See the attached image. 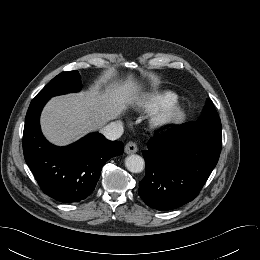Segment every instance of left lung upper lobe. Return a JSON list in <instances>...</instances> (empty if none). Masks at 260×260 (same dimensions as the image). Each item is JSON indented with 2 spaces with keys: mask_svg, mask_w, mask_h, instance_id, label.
<instances>
[{
  "mask_svg": "<svg viewBox=\"0 0 260 260\" xmlns=\"http://www.w3.org/2000/svg\"><path fill=\"white\" fill-rule=\"evenodd\" d=\"M192 130L211 132L222 135L221 121L218 113L216 112L213 102L207 99L204 110L198 122L188 124Z\"/></svg>",
  "mask_w": 260,
  "mask_h": 260,
  "instance_id": "left-lung-upper-lobe-1",
  "label": "left lung upper lobe"
}]
</instances>
